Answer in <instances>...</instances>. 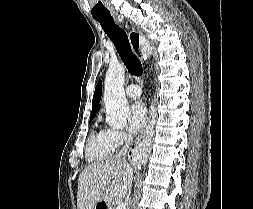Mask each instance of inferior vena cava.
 Wrapping results in <instances>:
<instances>
[{
  "instance_id": "1",
  "label": "inferior vena cava",
  "mask_w": 253,
  "mask_h": 209,
  "mask_svg": "<svg viewBox=\"0 0 253 209\" xmlns=\"http://www.w3.org/2000/svg\"><path fill=\"white\" fill-rule=\"evenodd\" d=\"M124 141H125V144L124 146L121 148V150L116 154V158L118 160H124L125 161V156H126V153L128 151V148L129 146L131 145L132 141H133V136L130 135V134H126L124 136ZM132 177H133V174H132V170L131 168H129V192L128 194L130 195V192H131V186H132Z\"/></svg>"
}]
</instances>
